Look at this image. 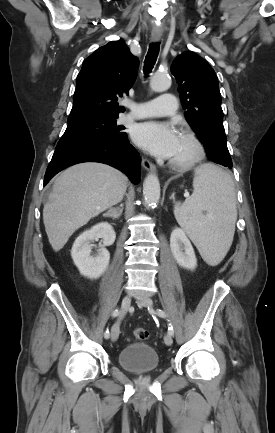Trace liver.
I'll list each match as a JSON object with an SVG mask.
<instances>
[{"label":"liver","instance_id":"1","mask_svg":"<svg viewBox=\"0 0 275 433\" xmlns=\"http://www.w3.org/2000/svg\"><path fill=\"white\" fill-rule=\"evenodd\" d=\"M127 183L123 173L102 163H80L63 171L43 209L53 250H61L77 229L120 202Z\"/></svg>","mask_w":275,"mask_h":433}]
</instances>
